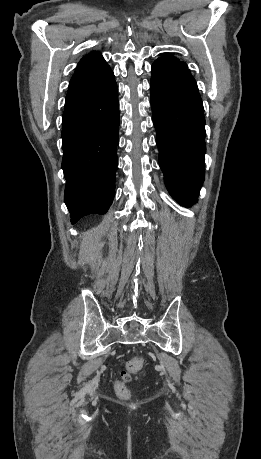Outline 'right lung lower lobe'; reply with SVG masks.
<instances>
[{"label":"right lung lower lobe","instance_id":"obj_1","mask_svg":"<svg viewBox=\"0 0 261 459\" xmlns=\"http://www.w3.org/2000/svg\"><path fill=\"white\" fill-rule=\"evenodd\" d=\"M119 129L117 84L63 113L62 168L71 222L105 214L113 199Z\"/></svg>","mask_w":261,"mask_h":459}]
</instances>
